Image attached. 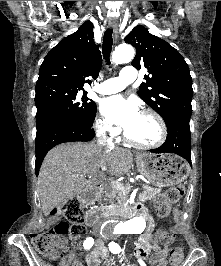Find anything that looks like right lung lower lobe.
<instances>
[{"label": "right lung lower lobe", "instance_id": "1", "mask_svg": "<svg viewBox=\"0 0 221 266\" xmlns=\"http://www.w3.org/2000/svg\"><path fill=\"white\" fill-rule=\"evenodd\" d=\"M94 136L95 132L92 126L72 121H62L52 124L41 133H37L35 145L36 175L39 174L42 161L51 148L65 142L90 141Z\"/></svg>", "mask_w": 221, "mask_h": 266}]
</instances>
